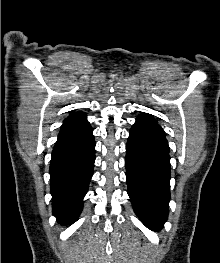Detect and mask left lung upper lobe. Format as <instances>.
I'll return each instance as SVG.
<instances>
[{
	"label": "left lung upper lobe",
	"instance_id": "obj_1",
	"mask_svg": "<svg viewBox=\"0 0 220 263\" xmlns=\"http://www.w3.org/2000/svg\"><path fill=\"white\" fill-rule=\"evenodd\" d=\"M139 117L146 118V119L151 120V121L156 123V121L152 118L151 115L143 114V115H140Z\"/></svg>",
	"mask_w": 220,
	"mask_h": 263
}]
</instances>
